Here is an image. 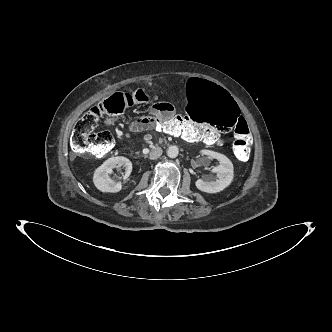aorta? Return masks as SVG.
Segmentation results:
<instances>
[{
	"label": "aorta",
	"instance_id": "762f6f07",
	"mask_svg": "<svg viewBox=\"0 0 332 332\" xmlns=\"http://www.w3.org/2000/svg\"><path fill=\"white\" fill-rule=\"evenodd\" d=\"M178 153H179V149L177 146H170L168 149H167V155L168 157L170 158H176L178 156Z\"/></svg>",
	"mask_w": 332,
	"mask_h": 332
}]
</instances>
